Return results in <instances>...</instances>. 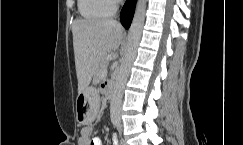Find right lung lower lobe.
Wrapping results in <instances>:
<instances>
[{
	"instance_id": "98d812e1",
	"label": "right lung lower lobe",
	"mask_w": 243,
	"mask_h": 145,
	"mask_svg": "<svg viewBox=\"0 0 243 145\" xmlns=\"http://www.w3.org/2000/svg\"><path fill=\"white\" fill-rule=\"evenodd\" d=\"M135 4L136 0H126L120 14L121 23L127 29L129 28L133 18Z\"/></svg>"
}]
</instances>
